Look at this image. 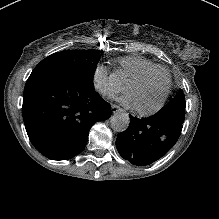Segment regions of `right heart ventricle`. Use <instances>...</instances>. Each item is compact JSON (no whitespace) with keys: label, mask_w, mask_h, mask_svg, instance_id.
Masks as SVG:
<instances>
[{"label":"right heart ventricle","mask_w":219,"mask_h":219,"mask_svg":"<svg viewBox=\"0 0 219 219\" xmlns=\"http://www.w3.org/2000/svg\"><path fill=\"white\" fill-rule=\"evenodd\" d=\"M159 64L144 56H130L120 61L118 77L125 86L131 85L143 73L151 71Z\"/></svg>","instance_id":"right-heart-ventricle-1"}]
</instances>
